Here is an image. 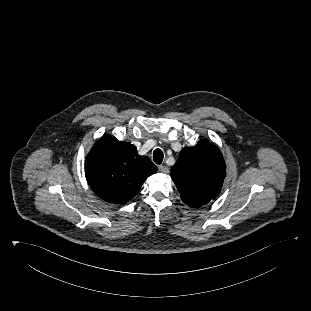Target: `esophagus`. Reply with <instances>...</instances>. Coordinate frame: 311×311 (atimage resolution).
I'll return each instance as SVG.
<instances>
[{"label":"esophagus","mask_w":311,"mask_h":311,"mask_svg":"<svg viewBox=\"0 0 311 311\" xmlns=\"http://www.w3.org/2000/svg\"><path fill=\"white\" fill-rule=\"evenodd\" d=\"M159 171L162 172V173H169V168L165 165H160L158 167Z\"/></svg>","instance_id":"1"}]
</instances>
